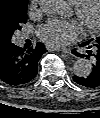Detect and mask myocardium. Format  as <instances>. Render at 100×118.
Segmentation results:
<instances>
[{"mask_svg": "<svg viewBox=\"0 0 100 118\" xmlns=\"http://www.w3.org/2000/svg\"><path fill=\"white\" fill-rule=\"evenodd\" d=\"M90 3H95L97 15L94 21L85 22L84 14ZM74 14L77 19L81 22L84 27V30L88 33L95 32L100 26V0H78L73 4Z\"/></svg>", "mask_w": 100, "mask_h": 118, "instance_id": "1", "label": "myocardium"}]
</instances>
